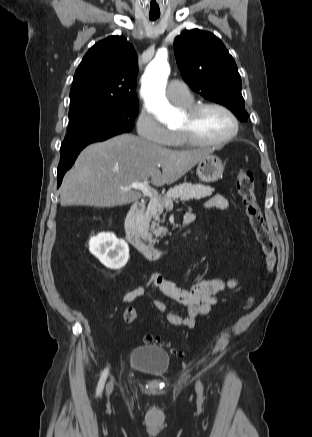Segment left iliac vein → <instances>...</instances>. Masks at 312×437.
Returning a JSON list of instances; mask_svg holds the SVG:
<instances>
[{
  "label": "left iliac vein",
  "instance_id": "left-iliac-vein-1",
  "mask_svg": "<svg viewBox=\"0 0 312 437\" xmlns=\"http://www.w3.org/2000/svg\"><path fill=\"white\" fill-rule=\"evenodd\" d=\"M196 390L199 394H201L202 388H201V385L199 383H197V385H196Z\"/></svg>",
  "mask_w": 312,
  "mask_h": 437
}]
</instances>
